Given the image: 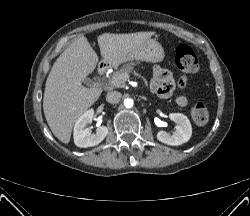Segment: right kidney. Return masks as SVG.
<instances>
[{"label": "right kidney", "mask_w": 250, "mask_h": 216, "mask_svg": "<svg viewBox=\"0 0 250 216\" xmlns=\"http://www.w3.org/2000/svg\"><path fill=\"white\" fill-rule=\"evenodd\" d=\"M93 115L94 110L89 109L77 119L73 133L76 146L81 148L96 146L107 136L108 128L106 126L98 127L96 133L93 134H91L90 128L86 127L87 124L92 122Z\"/></svg>", "instance_id": "obj_1"}]
</instances>
